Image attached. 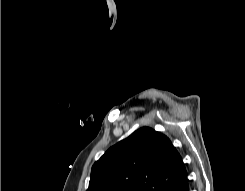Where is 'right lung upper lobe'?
I'll return each mask as SVG.
<instances>
[{
    "instance_id": "right-lung-upper-lobe-1",
    "label": "right lung upper lobe",
    "mask_w": 245,
    "mask_h": 191,
    "mask_svg": "<svg viewBox=\"0 0 245 191\" xmlns=\"http://www.w3.org/2000/svg\"><path fill=\"white\" fill-rule=\"evenodd\" d=\"M187 175L169 138L143 127L93 165L87 191H165Z\"/></svg>"
}]
</instances>
